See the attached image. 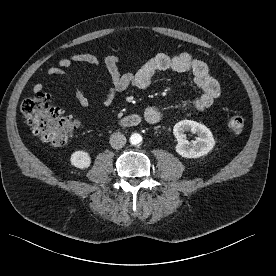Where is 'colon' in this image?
<instances>
[{
    "mask_svg": "<svg viewBox=\"0 0 276 276\" xmlns=\"http://www.w3.org/2000/svg\"><path fill=\"white\" fill-rule=\"evenodd\" d=\"M20 110L33 133L53 145L66 144L77 128V121L64 117L62 111L51 104L50 95L45 91H38L33 96L25 98L20 105ZM244 128L243 116L230 117L228 130L232 134L238 135Z\"/></svg>",
    "mask_w": 276,
    "mask_h": 276,
    "instance_id": "colon-1",
    "label": "colon"
}]
</instances>
